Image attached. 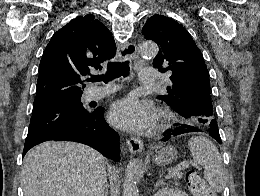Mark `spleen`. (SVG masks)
Listing matches in <instances>:
<instances>
[{
  "label": "spleen",
  "mask_w": 260,
  "mask_h": 196,
  "mask_svg": "<svg viewBox=\"0 0 260 196\" xmlns=\"http://www.w3.org/2000/svg\"><path fill=\"white\" fill-rule=\"evenodd\" d=\"M189 150L194 162L204 168V178L212 192H222L225 186V174L218 148L205 136H192Z\"/></svg>",
  "instance_id": "obj_1"
}]
</instances>
